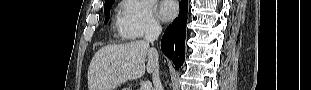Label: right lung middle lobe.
Segmentation results:
<instances>
[{
    "instance_id": "1",
    "label": "right lung middle lobe",
    "mask_w": 311,
    "mask_h": 90,
    "mask_svg": "<svg viewBox=\"0 0 311 90\" xmlns=\"http://www.w3.org/2000/svg\"><path fill=\"white\" fill-rule=\"evenodd\" d=\"M114 3V0L110 1L109 3H106L104 5V13H105V16H106V19H105V24L108 22L109 20V16H110V8L112 6V4Z\"/></svg>"
}]
</instances>
